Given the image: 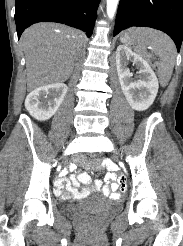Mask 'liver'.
I'll return each instance as SVG.
<instances>
[{
    "label": "liver",
    "mask_w": 183,
    "mask_h": 246,
    "mask_svg": "<svg viewBox=\"0 0 183 246\" xmlns=\"http://www.w3.org/2000/svg\"><path fill=\"white\" fill-rule=\"evenodd\" d=\"M82 42L81 31L60 24L39 23L26 29L21 44L26 58L27 90L66 81Z\"/></svg>",
    "instance_id": "obj_1"
}]
</instances>
